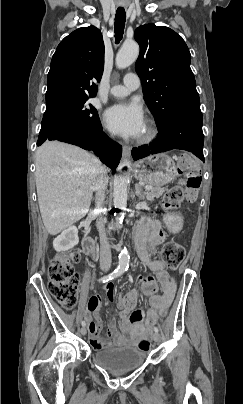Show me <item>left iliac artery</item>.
<instances>
[{"mask_svg": "<svg viewBox=\"0 0 243 404\" xmlns=\"http://www.w3.org/2000/svg\"><path fill=\"white\" fill-rule=\"evenodd\" d=\"M154 331L158 333L159 329L157 327H155Z\"/></svg>", "mask_w": 243, "mask_h": 404, "instance_id": "44dca946", "label": "left iliac artery"}]
</instances>
